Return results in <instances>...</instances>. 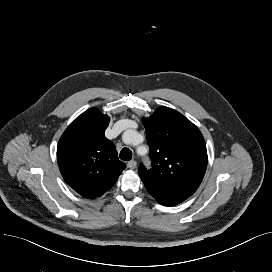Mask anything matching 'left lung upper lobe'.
Masks as SVG:
<instances>
[{
  "label": "left lung upper lobe",
  "instance_id": "1",
  "mask_svg": "<svg viewBox=\"0 0 272 272\" xmlns=\"http://www.w3.org/2000/svg\"><path fill=\"white\" fill-rule=\"evenodd\" d=\"M152 168L141 164L144 184L191 196L207 167V151L200 130L178 111L159 107L143 118Z\"/></svg>",
  "mask_w": 272,
  "mask_h": 272
}]
</instances>
